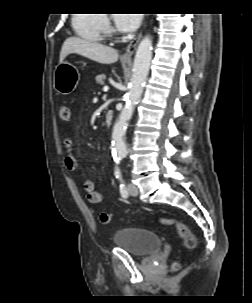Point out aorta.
<instances>
[{
    "mask_svg": "<svg viewBox=\"0 0 252 303\" xmlns=\"http://www.w3.org/2000/svg\"><path fill=\"white\" fill-rule=\"evenodd\" d=\"M151 59L152 39L147 35L140 41L137 47L126 103L113 128L112 144L115 162H120L127 156L128 150L124 139L125 131L128 121L132 117L134 107L141 97L143 86L149 72Z\"/></svg>",
    "mask_w": 252,
    "mask_h": 303,
    "instance_id": "obj_1",
    "label": "aorta"
}]
</instances>
